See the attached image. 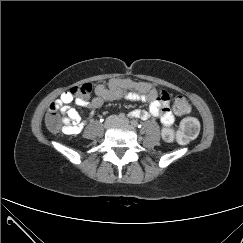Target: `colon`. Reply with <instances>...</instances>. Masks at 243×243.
Returning a JSON list of instances; mask_svg holds the SVG:
<instances>
[{"label": "colon", "instance_id": "5ec220e1", "mask_svg": "<svg viewBox=\"0 0 243 243\" xmlns=\"http://www.w3.org/2000/svg\"><path fill=\"white\" fill-rule=\"evenodd\" d=\"M98 86L105 87L106 85L100 84ZM92 91L93 85L91 83H85L72 88L70 93L75 97H88ZM190 109V103L185 96L179 94L174 97L173 111L175 114L186 115L190 112ZM59 112V106L53 102L46 113V125L48 129L53 133H58L61 129ZM199 130L200 125L198 120L192 117H188L182 121L180 129L177 132L171 128H164L162 130V138L166 142L177 141L181 144H186L196 138Z\"/></svg>", "mask_w": 243, "mask_h": 243}]
</instances>
